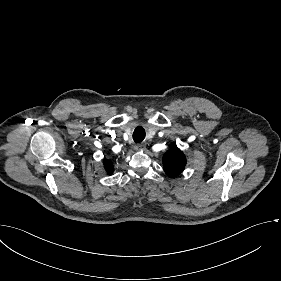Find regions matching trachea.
I'll use <instances>...</instances> for the list:
<instances>
[{
    "instance_id": "trachea-1",
    "label": "trachea",
    "mask_w": 281,
    "mask_h": 281,
    "mask_svg": "<svg viewBox=\"0 0 281 281\" xmlns=\"http://www.w3.org/2000/svg\"><path fill=\"white\" fill-rule=\"evenodd\" d=\"M146 132L142 126H137L133 131V140L135 143H140L144 140Z\"/></svg>"
}]
</instances>
